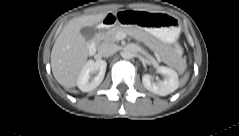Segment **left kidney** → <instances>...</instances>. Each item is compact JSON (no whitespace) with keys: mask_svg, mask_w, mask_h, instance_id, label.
<instances>
[{"mask_svg":"<svg viewBox=\"0 0 239 136\" xmlns=\"http://www.w3.org/2000/svg\"><path fill=\"white\" fill-rule=\"evenodd\" d=\"M157 72L163 74L165 77L164 80L157 83L151 80L150 75H143L142 83L147 90L160 96H166L178 88L179 80L175 70L165 66H159Z\"/></svg>","mask_w":239,"mask_h":136,"instance_id":"left-kidney-1","label":"left kidney"}]
</instances>
